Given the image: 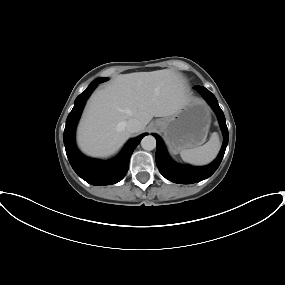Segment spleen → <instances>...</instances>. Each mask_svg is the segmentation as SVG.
I'll return each instance as SVG.
<instances>
[{
	"label": "spleen",
	"mask_w": 285,
	"mask_h": 285,
	"mask_svg": "<svg viewBox=\"0 0 285 285\" xmlns=\"http://www.w3.org/2000/svg\"><path fill=\"white\" fill-rule=\"evenodd\" d=\"M219 150V137L217 133H213L206 144L192 149H184L180 152V156L187 163L194 165H206L217 156Z\"/></svg>",
	"instance_id": "obj_1"
}]
</instances>
